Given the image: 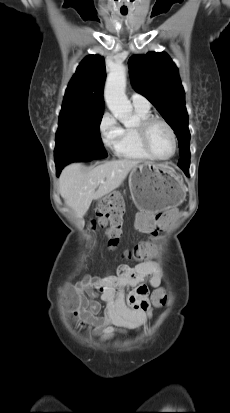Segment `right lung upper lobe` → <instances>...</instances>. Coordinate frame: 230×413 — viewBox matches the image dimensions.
<instances>
[{"label": "right lung upper lobe", "instance_id": "right-lung-upper-lobe-1", "mask_svg": "<svg viewBox=\"0 0 230 413\" xmlns=\"http://www.w3.org/2000/svg\"><path fill=\"white\" fill-rule=\"evenodd\" d=\"M105 78L104 58L99 55L85 57L66 89L59 120L102 116Z\"/></svg>", "mask_w": 230, "mask_h": 413}]
</instances>
